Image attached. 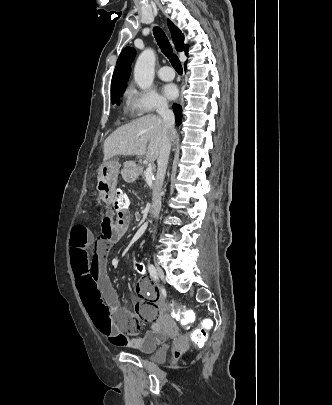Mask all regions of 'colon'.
Instances as JSON below:
<instances>
[{"label":"colon","instance_id":"5ec220e1","mask_svg":"<svg viewBox=\"0 0 332 405\" xmlns=\"http://www.w3.org/2000/svg\"><path fill=\"white\" fill-rule=\"evenodd\" d=\"M113 187L115 195L113 198L114 201L110 204L109 207L110 211L123 212L124 210H129V208H132L133 201L132 199H128L127 194H125V191L121 189V186L119 184H114ZM133 269L140 274L144 273L146 269V262L142 258H135L133 260ZM171 309L179 317V323L183 324L184 328L192 327L195 319L190 310H188L186 307L177 305L174 301H171ZM201 320L203 323L206 324L209 322L210 319L208 316L205 315L202 317ZM192 338L196 343L204 342L207 338L206 328L204 326H201L200 328L195 330Z\"/></svg>","mask_w":332,"mask_h":405}]
</instances>
